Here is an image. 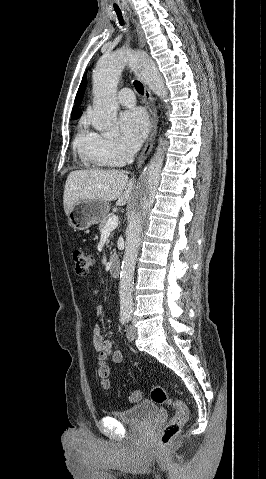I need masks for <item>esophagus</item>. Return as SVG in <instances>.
I'll list each match as a JSON object with an SVG mask.
<instances>
[{"mask_svg": "<svg viewBox=\"0 0 266 479\" xmlns=\"http://www.w3.org/2000/svg\"><path fill=\"white\" fill-rule=\"evenodd\" d=\"M134 22H135V26H136V30H137L139 47L143 48L146 44L144 32L142 31L139 24L135 20H134ZM144 97H145V100H146V103H147V106H148V110H149L150 133H149V137L146 141V144H145V146H144V148H143V150H142V152H141V154H140V156L137 160V168H140L143 165L144 161L146 160V158L150 154V152L153 148V144H154V141H155L156 134H157V122H158L157 111H156V107H155V104H154V101H153L152 93H151V91L148 88L146 83H144Z\"/></svg>", "mask_w": 266, "mask_h": 479, "instance_id": "obj_1", "label": "esophagus"}]
</instances>
